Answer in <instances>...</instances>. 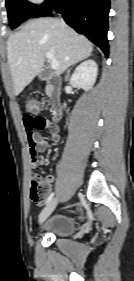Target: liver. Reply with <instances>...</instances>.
<instances>
[{
    "label": "liver",
    "mask_w": 134,
    "mask_h": 281,
    "mask_svg": "<svg viewBox=\"0 0 134 281\" xmlns=\"http://www.w3.org/2000/svg\"><path fill=\"white\" fill-rule=\"evenodd\" d=\"M92 43L63 21L39 18L29 21L7 41V57L14 93L23 89L42 70L46 53L58 61L55 74L60 76L69 66L91 55Z\"/></svg>",
    "instance_id": "6515ba94"
}]
</instances>
